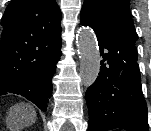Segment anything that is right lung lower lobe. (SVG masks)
I'll use <instances>...</instances> for the list:
<instances>
[{
  "instance_id": "right-lung-lower-lobe-1",
  "label": "right lung lower lobe",
  "mask_w": 151,
  "mask_h": 131,
  "mask_svg": "<svg viewBox=\"0 0 151 131\" xmlns=\"http://www.w3.org/2000/svg\"><path fill=\"white\" fill-rule=\"evenodd\" d=\"M60 48L61 41L48 51L47 62L41 70L13 84L6 90L0 91V96L8 93L22 95L41 110L46 111L48 99L52 94V77L61 56Z\"/></svg>"
}]
</instances>
